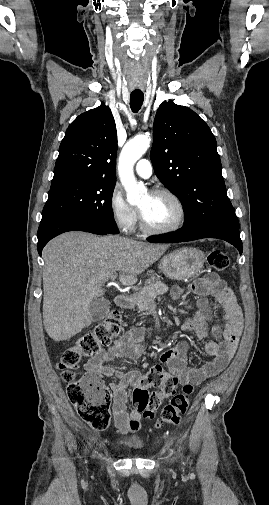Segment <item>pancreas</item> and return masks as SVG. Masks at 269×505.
Wrapping results in <instances>:
<instances>
[{
  "label": "pancreas",
  "mask_w": 269,
  "mask_h": 505,
  "mask_svg": "<svg viewBox=\"0 0 269 505\" xmlns=\"http://www.w3.org/2000/svg\"><path fill=\"white\" fill-rule=\"evenodd\" d=\"M138 291L136 305L139 311H144L154 304L156 296L168 291V286L160 281H157L149 286L138 289Z\"/></svg>",
  "instance_id": "1"
}]
</instances>
